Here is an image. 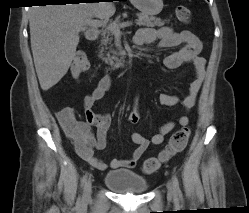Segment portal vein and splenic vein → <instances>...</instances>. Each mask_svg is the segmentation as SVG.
Listing matches in <instances>:
<instances>
[{
    "label": "portal vein and splenic vein",
    "instance_id": "1",
    "mask_svg": "<svg viewBox=\"0 0 249 213\" xmlns=\"http://www.w3.org/2000/svg\"><path fill=\"white\" fill-rule=\"evenodd\" d=\"M87 25L92 26V27H108L111 28V30L115 33V34H119L120 33V29L125 28V27H129L132 25V22L127 21V22H123L120 23L119 25H107V21L105 20H92V19H88L86 21Z\"/></svg>",
    "mask_w": 249,
    "mask_h": 213
}]
</instances>
